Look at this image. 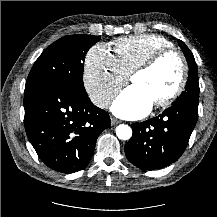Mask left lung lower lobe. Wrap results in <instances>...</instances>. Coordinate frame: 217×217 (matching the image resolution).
<instances>
[{
    "label": "left lung lower lobe",
    "mask_w": 217,
    "mask_h": 217,
    "mask_svg": "<svg viewBox=\"0 0 217 217\" xmlns=\"http://www.w3.org/2000/svg\"><path fill=\"white\" fill-rule=\"evenodd\" d=\"M198 104L181 100L162 114L133 123V135L125 145L127 159L142 170L164 168L185 151L198 119Z\"/></svg>",
    "instance_id": "left-lung-lower-lobe-1"
}]
</instances>
